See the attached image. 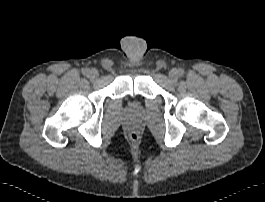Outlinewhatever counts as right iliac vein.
I'll list each match as a JSON object with an SVG mask.
<instances>
[{"label":"right iliac vein","instance_id":"obj_1","mask_svg":"<svg viewBox=\"0 0 265 202\" xmlns=\"http://www.w3.org/2000/svg\"><path fill=\"white\" fill-rule=\"evenodd\" d=\"M98 76H99V74H98V72L95 69L90 70V73L88 75L89 79H92V80L97 79Z\"/></svg>","mask_w":265,"mask_h":202}]
</instances>
